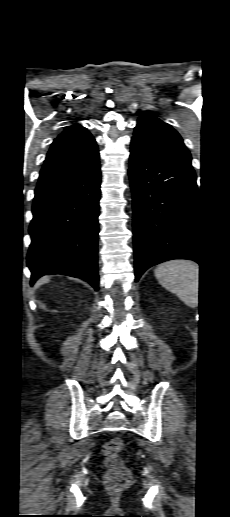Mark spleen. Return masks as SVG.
Instances as JSON below:
<instances>
[{
  "mask_svg": "<svg viewBox=\"0 0 230 517\" xmlns=\"http://www.w3.org/2000/svg\"><path fill=\"white\" fill-rule=\"evenodd\" d=\"M154 274L162 287L176 294L186 305L198 304V264L187 260L169 261L157 266Z\"/></svg>",
  "mask_w": 230,
  "mask_h": 517,
  "instance_id": "spleen-1",
  "label": "spleen"
}]
</instances>
